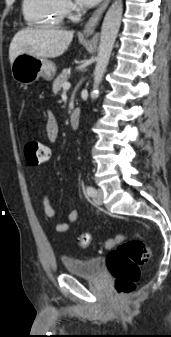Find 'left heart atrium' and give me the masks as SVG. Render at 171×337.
<instances>
[{"instance_id":"39dd6f15","label":"left heart atrium","mask_w":171,"mask_h":337,"mask_svg":"<svg viewBox=\"0 0 171 337\" xmlns=\"http://www.w3.org/2000/svg\"><path fill=\"white\" fill-rule=\"evenodd\" d=\"M81 5L93 6L97 4L100 0H77Z\"/></svg>"}]
</instances>
